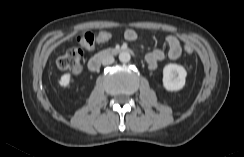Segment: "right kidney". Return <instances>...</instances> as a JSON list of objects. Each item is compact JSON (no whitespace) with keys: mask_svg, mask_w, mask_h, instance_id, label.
<instances>
[{"mask_svg":"<svg viewBox=\"0 0 244 157\" xmlns=\"http://www.w3.org/2000/svg\"><path fill=\"white\" fill-rule=\"evenodd\" d=\"M71 81V75L69 73H66L60 77L58 80V83L61 87H68Z\"/></svg>","mask_w":244,"mask_h":157,"instance_id":"right-kidney-1","label":"right kidney"}]
</instances>
